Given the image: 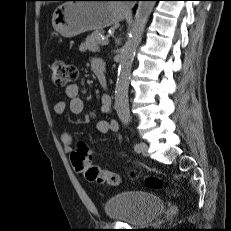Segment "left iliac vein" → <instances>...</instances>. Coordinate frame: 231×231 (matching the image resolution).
<instances>
[{"label":"left iliac vein","instance_id":"1","mask_svg":"<svg viewBox=\"0 0 231 231\" xmlns=\"http://www.w3.org/2000/svg\"><path fill=\"white\" fill-rule=\"evenodd\" d=\"M139 153L143 156H148V145L145 142L139 144Z\"/></svg>","mask_w":231,"mask_h":231}]
</instances>
